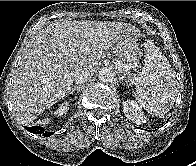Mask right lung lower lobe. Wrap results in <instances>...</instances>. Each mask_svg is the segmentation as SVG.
Here are the masks:
<instances>
[{
    "instance_id": "1",
    "label": "right lung lower lobe",
    "mask_w": 196,
    "mask_h": 166,
    "mask_svg": "<svg viewBox=\"0 0 196 166\" xmlns=\"http://www.w3.org/2000/svg\"><path fill=\"white\" fill-rule=\"evenodd\" d=\"M26 129L31 133L41 134L45 137H49L53 134V132H48V131L44 130L42 127H39V126L26 127Z\"/></svg>"
}]
</instances>
